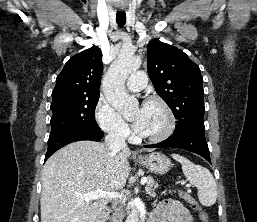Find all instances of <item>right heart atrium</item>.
Segmentation results:
<instances>
[{
  "instance_id": "1",
  "label": "right heart atrium",
  "mask_w": 257,
  "mask_h": 222,
  "mask_svg": "<svg viewBox=\"0 0 257 222\" xmlns=\"http://www.w3.org/2000/svg\"><path fill=\"white\" fill-rule=\"evenodd\" d=\"M104 114H109L115 119V123L107 127L102 117ZM95 118L100 128L110 136L124 140L130 137V129L128 125L121 119L115 109L104 99L100 98L95 107Z\"/></svg>"
}]
</instances>
